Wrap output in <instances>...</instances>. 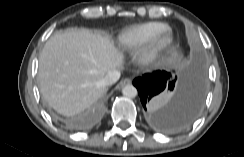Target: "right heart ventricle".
I'll use <instances>...</instances> for the list:
<instances>
[{"label":"right heart ventricle","mask_w":244,"mask_h":157,"mask_svg":"<svg viewBox=\"0 0 244 157\" xmlns=\"http://www.w3.org/2000/svg\"><path fill=\"white\" fill-rule=\"evenodd\" d=\"M163 28L164 25L158 22L132 26L120 33L119 42L125 47L135 46L147 41L151 36Z\"/></svg>","instance_id":"1"}]
</instances>
